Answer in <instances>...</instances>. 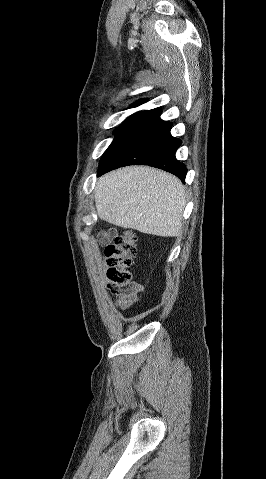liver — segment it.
I'll use <instances>...</instances> for the list:
<instances>
[{
	"mask_svg": "<svg viewBox=\"0 0 266 479\" xmlns=\"http://www.w3.org/2000/svg\"><path fill=\"white\" fill-rule=\"evenodd\" d=\"M100 218L110 224L162 237L179 236L186 205L180 180L147 166H130L102 176L95 187Z\"/></svg>",
	"mask_w": 266,
	"mask_h": 479,
	"instance_id": "1",
	"label": "liver"
}]
</instances>
